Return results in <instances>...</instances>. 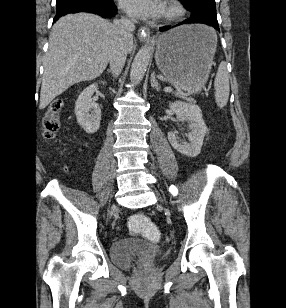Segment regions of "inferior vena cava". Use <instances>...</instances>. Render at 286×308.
<instances>
[{
    "label": "inferior vena cava",
    "instance_id": "inferior-vena-cava-1",
    "mask_svg": "<svg viewBox=\"0 0 286 308\" xmlns=\"http://www.w3.org/2000/svg\"><path fill=\"white\" fill-rule=\"evenodd\" d=\"M113 26L117 36L109 57V63L111 72L116 77L121 73L125 65L127 56L126 41L132 37V32L135 30V21L122 17L115 20Z\"/></svg>",
    "mask_w": 286,
    "mask_h": 308
}]
</instances>
